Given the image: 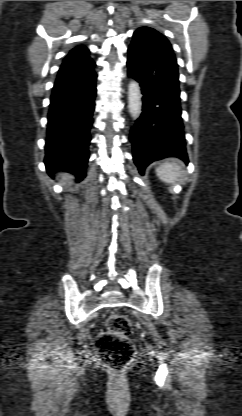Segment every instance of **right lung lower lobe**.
Instances as JSON below:
<instances>
[{
  "instance_id": "right-lung-lower-lobe-1",
  "label": "right lung lower lobe",
  "mask_w": 242,
  "mask_h": 416,
  "mask_svg": "<svg viewBox=\"0 0 242 416\" xmlns=\"http://www.w3.org/2000/svg\"><path fill=\"white\" fill-rule=\"evenodd\" d=\"M93 68L81 78H57L50 100L45 165L49 174L64 170L86 176L90 128L96 96Z\"/></svg>"
}]
</instances>
